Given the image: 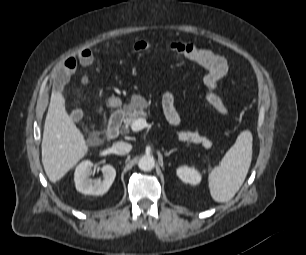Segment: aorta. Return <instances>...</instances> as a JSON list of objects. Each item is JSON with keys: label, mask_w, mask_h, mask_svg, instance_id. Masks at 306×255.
Listing matches in <instances>:
<instances>
[{"label": "aorta", "mask_w": 306, "mask_h": 255, "mask_svg": "<svg viewBox=\"0 0 306 255\" xmlns=\"http://www.w3.org/2000/svg\"><path fill=\"white\" fill-rule=\"evenodd\" d=\"M155 166V160L150 155H145L141 157L138 161V167L142 171H151Z\"/></svg>", "instance_id": "1"}]
</instances>
